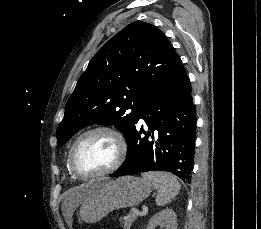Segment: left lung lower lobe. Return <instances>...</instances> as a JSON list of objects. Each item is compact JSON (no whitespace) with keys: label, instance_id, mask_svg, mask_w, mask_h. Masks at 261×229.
<instances>
[{"label":"left lung lower lobe","instance_id":"left-lung-lower-lobe-1","mask_svg":"<svg viewBox=\"0 0 261 229\" xmlns=\"http://www.w3.org/2000/svg\"><path fill=\"white\" fill-rule=\"evenodd\" d=\"M140 118L150 131L146 133L143 126L140 130L135 128L127 141L126 161L110 177L166 171L182 180L191 178L196 110L191 83L182 64L150 92L142 105Z\"/></svg>","mask_w":261,"mask_h":229}]
</instances>
